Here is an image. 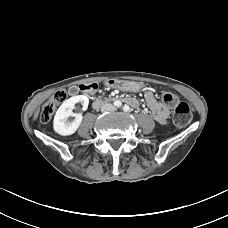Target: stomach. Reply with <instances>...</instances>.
Masks as SVG:
<instances>
[{"mask_svg": "<svg viewBox=\"0 0 228 228\" xmlns=\"http://www.w3.org/2000/svg\"><path fill=\"white\" fill-rule=\"evenodd\" d=\"M127 88L130 91L138 92V91H140L143 88V84L139 83V82H128L127 83Z\"/></svg>", "mask_w": 228, "mask_h": 228, "instance_id": "0dacf381", "label": "stomach"}]
</instances>
